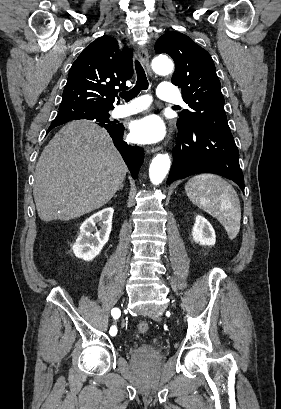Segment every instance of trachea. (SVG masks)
<instances>
[{"label":"trachea","instance_id":"obj_1","mask_svg":"<svg viewBox=\"0 0 281 409\" xmlns=\"http://www.w3.org/2000/svg\"><path fill=\"white\" fill-rule=\"evenodd\" d=\"M135 70L137 74L136 84L131 90L120 93V97L123 98L126 102H129L133 98L137 97L141 90H147L149 87L144 68L138 60L135 61Z\"/></svg>","mask_w":281,"mask_h":409}]
</instances>
